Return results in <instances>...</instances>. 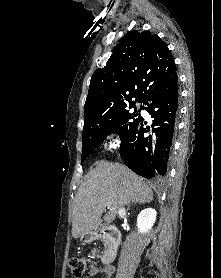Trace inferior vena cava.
<instances>
[{
  "label": "inferior vena cava",
  "instance_id": "inferior-vena-cava-1",
  "mask_svg": "<svg viewBox=\"0 0 221 278\" xmlns=\"http://www.w3.org/2000/svg\"><path fill=\"white\" fill-rule=\"evenodd\" d=\"M119 211H123V207H120Z\"/></svg>",
  "mask_w": 221,
  "mask_h": 278
}]
</instances>
